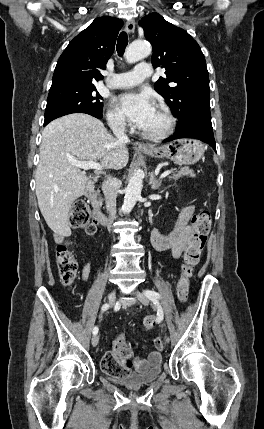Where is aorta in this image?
I'll use <instances>...</instances> for the list:
<instances>
[{
	"label": "aorta",
	"instance_id": "aorta-1",
	"mask_svg": "<svg viewBox=\"0 0 264 429\" xmlns=\"http://www.w3.org/2000/svg\"><path fill=\"white\" fill-rule=\"evenodd\" d=\"M151 51L152 48L147 41H134L127 48L125 58L128 63H134L149 56ZM143 177V172L137 169L130 178L122 205L124 214H128L132 211L140 197L143 187Z\"/></svg>",
	"mask_w": 264,
	"mask_h": 429
}]
</instances>
